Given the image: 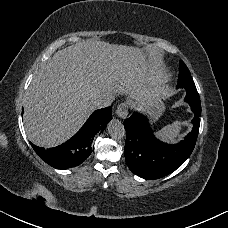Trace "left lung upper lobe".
<instances>
[{"mask_svg": "<svg viewBox=\"0 0 228 228\" xmlns=\"http://www.w3.org/2000/svg\"><path fill=\"white\" fill-rule=\"evenodd\" d=\"M187 85H190L191 87H194V81L191 77L190 71L188 70L187 66L184 64L183 61H180V67H179V80H178V88H185L187 89Z\"/></svg>", "mask_w": 228, "mask_h": 228, "instance_id": "obj_1", "label": "left lung upper lobe"}]
</instances>
